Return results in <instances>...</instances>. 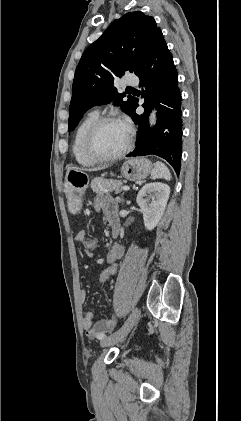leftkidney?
I'll return each mask as SVG.
<instances>
[{"label":"left kidney","instance_id":"left-kidney-1","mask_svg":"<svg viewBox=\"0 0 241 421\" xmlns=\"http://www.w3.org/2000/svg\"><path fill=\"white\" fill-rule=\"evenodd\" d=\"M170 195V187L162 182L148 183L139 191L136 202L143 214L147 230L154 229L162 218Z\"/></svg>","mask_w":241,"mask_h":421}]
</instances>
